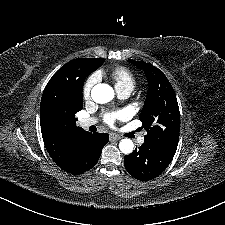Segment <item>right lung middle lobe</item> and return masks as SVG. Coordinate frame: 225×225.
Masks as SVG:
<instances>
[{
    "mask_svg": "<svg viewBox=\"0 0 225 225\" xmlns=\"http://www.w3.org/2000/svg\"><path fill=\"white\" fill-rule=\"evenodd\" d=\"M105 59L98 58L95 62V69L100 67ZM86 75L83 73L75 74L67 83L64 89V95L67 97V104L63 109L48 107L47 111L54 120H64L66 118H75V114L83 108L82 88Z\"/></svg>",
    "mask_w": 225,
    "mask_h": 225,
    "instance_id": "1",
    "label": "right lung middle lobe"
}]
</instances>
